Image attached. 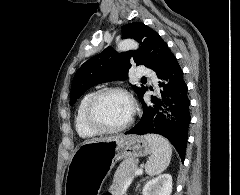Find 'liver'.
<instances>
[{"label": "liver", "instance_id": "1", "mask_svg": "<svg viewBox=\"0 0 240 195\" xmlns=\"http://www.w3.org/2000/svg\"><path fill=\"white\" fill-rule=\"evenodd\" d=\"M103 139H109V137H103Z\"/></svg>", "mask_w": 240, "mask_h": 195}]
</instances>
